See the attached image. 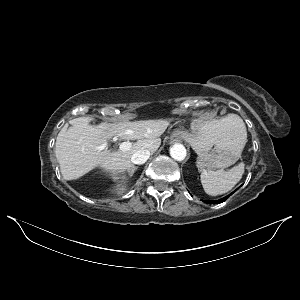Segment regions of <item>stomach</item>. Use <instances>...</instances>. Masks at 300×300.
I'll return each instance as SVG.
<instances>
[{
	"mask_svg": "<svg viewBox=\"0 0 300 300\" xmlns=\"http://www.w3.org/2000/svg\"><path fill=\"white\" fill-rule=\"evenodd\" d=\"M173 137L186 140L198 155L197 166L208 170L231 166L241 157L245 146L243 134L226 118L195 120L191 132L177 131Z\"/></svg>",
	"mask_w": 300,
	"mask_h": 300,
	"instance_id": "obj_1",
	"label": "stomach"
}]
</instances>
